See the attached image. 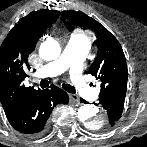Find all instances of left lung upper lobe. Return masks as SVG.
I'll use <instances>...</instances> for the list:
<instances>
[{"label": "left lung upper lobe", "mask_w": 147, "mask_h": 147, "mask_svg": "<svg viewBox=\"0 0 147 147\" xmlns=\"http://www.w3.org/2000/svg\"><path fill=\"white\" fill-rule=\"evenodd\" d=\"M75 26L91 29L96 34L97 54L89 73L101 81L100 98L126 94L128 70L125 55L117 39L99 22L82 12L63 11Z\"/></svg>", "instance_id": "1"}]
</instances>
